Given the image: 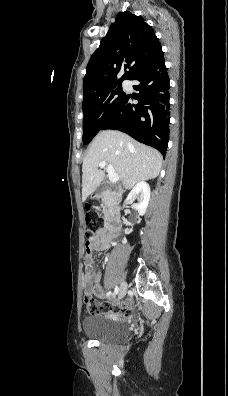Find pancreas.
<instances>
[{
    "mask_svg": "<svg viewBox=\"0 0 228 396\" xmlns=\"http://www.w3.org/2000/svg\"><path fill=\"white\" fill-rule=\"evenodd\" d=\"M102 201L105 204V206L103 207V213H104V215H106L107 214V196H103Z\"/></svg>",
    "mask_w": 228,
    "mask_h": 396,
    "instance_id": "pancreas-1",
    "label": "pancreas"
}]
</instances>
